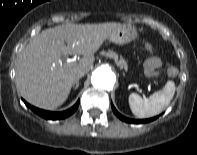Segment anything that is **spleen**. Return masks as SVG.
Returning a JSON list of instances; mask_svg holds the SVG:
<instances>
[{
    "label": "spleen",
    "instance_id": "obj_1",
    "mask_svg": "<svg viewBox=\"0 0 197 155\" xmlns=\"http://www.w3.org/2000/svg\"><path fill=\"white\" fill-rule=\"evenodd\" d=\"M175 83L168 81L164 88L142 99L138 94L129 95L128 101L132 113L138 118H147L161 113L171 102L175 93Z\"/></svg>",
    "mask_w": 197,
    "mask_h": 155
}]
</instances>
